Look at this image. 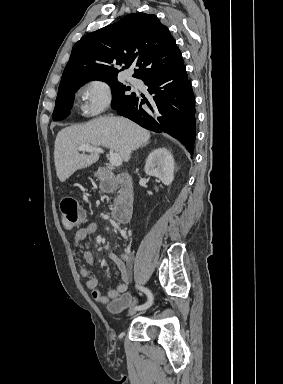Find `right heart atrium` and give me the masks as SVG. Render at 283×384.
Listing matches in <instances>:
<instances>
[{
  "label": "right heart atrium",
  "instance_id": "obj_1",
  "mask_svg": "<svg viewBox=\"0 0 283 384\" xmlns=\"http://www.w3.org/2000/svg\"><path fill=\"white\" fill-rule=\"evenodd\" d=\"M78 109L83 118L95 122L97 116L106 111L111 105L113 89L103 78H90L83 81L78 89Z\"/></svg>",
  "mask_w": 283,
  "mask_h": 384
}]
</instances>
